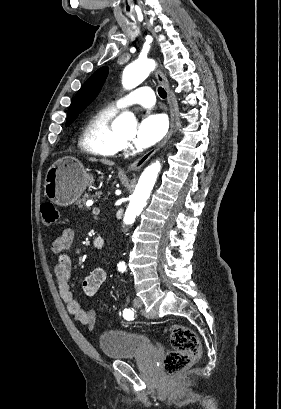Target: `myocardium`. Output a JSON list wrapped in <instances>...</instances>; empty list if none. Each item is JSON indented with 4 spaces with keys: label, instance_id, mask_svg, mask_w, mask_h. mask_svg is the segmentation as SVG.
Returning <instances> with one entry per match:
<instances>
[{
    "label": "myocardium",
    "instance_id": "1",
    "mask_svg": "<svg viewBox=\"0 0 281 409\" xmlns=\"http://www.w3.org/2000/svg\"><path fill=\"white\" fill-rule=\"evenodd\" d=\"M112 134L114 147L117 152H127L131 149V144L125 141L115 129L112 130Z\"/></svg>",
    "mask_w": 281,
    "mask_h": 409
}]
</instances>
